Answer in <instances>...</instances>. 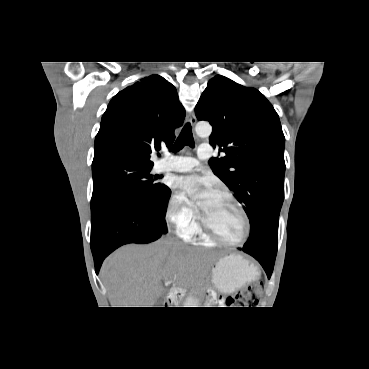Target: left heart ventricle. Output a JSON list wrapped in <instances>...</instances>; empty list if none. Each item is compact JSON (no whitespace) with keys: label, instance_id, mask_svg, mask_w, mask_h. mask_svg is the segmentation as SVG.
I'll use <instances>...</instances> for the list:
<instances>
[{"label":"left heart ventricle","instance_id":"1","mask_svg":"<svg viewBox=\"0 0 369 369\" xmlns=\"http://www.w3.org/2000/svg\"><path fill=\"white\" fill-rule=\"evenodd\" d=\"M201 213L219 236L230 241L242 238L244 234V221L238 208L226 197L214 194L201 200Z\"/></svg>","mask_w":369,"mask_h":369}]
</instances>
